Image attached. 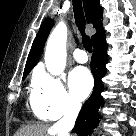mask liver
Returning a JSON list of instances; mask_svg holds the SVG:
<instances>
[{"instance_id":"6515ba94","label":"liver","mask_w":136,"mask_h":136,"mask_svg":"<svg viewBox=\"0 0 136 136\" xmlns=\"http://www.w3.org/2000/svg\"><path fill=\"white\" fill-rule=\"evenodd\" d=\"M57 134L54 126L48 127L44 124H33L23 126L15 136H58Z\"/></svg>"}]
</instances>
